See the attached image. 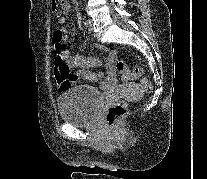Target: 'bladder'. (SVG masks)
<instances>
[{
  "label": "bladder",
  "instance_id": "1",
  "mask_svg": "<svg viewBox=\"0 0 207 179\" xmlns=\"http://www.w3.org/2000/svg\"><path fill=\"white\" fill-rule=\"evenodd\" d=\"M101 95L93 87L76 85L59 96L58 109L62 121L76 126L92 125L100 111Z\"/></svg>",
  "mask_w": 207,
  "mask_h": 179
}]
</instances>
